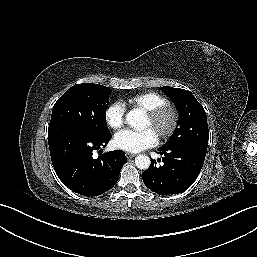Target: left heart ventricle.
I'll return each instance as SVG.
<instances>
[{
  "mask_svg": "<svg viewBox=\"0 0 257 257\" xmlns=\"http://www.w3.org/2000/svg\"><path fill=\"white\" fill-rule=\"evenodd\" d=\"M166 124H167V121H164V122L161 124V127H164ZM144 128L152 129L156 134H157V132H158V129L152 126L150 120H149L147 117H146V119H145Z\"/></svg>",
  "mask_w": 257,
  "mask_h": 257,
  "instance_id": "1",
  "label": "left heart ventricle"
}]
</instances>
